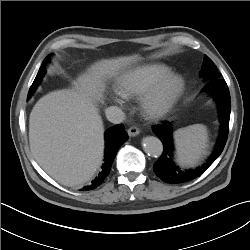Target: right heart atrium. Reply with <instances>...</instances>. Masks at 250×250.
I'll use <instances>...</instances> for the list:
<instances>
[{"mask_svg":"<svg viewBox=\"0 0 250 250\" xmlns=\"http://www.w3.org/2000/svg\"><path fill=\"white\" fill-rule=\"evenodd\" d=\"M109 99L115 103L123 104L125 99L124 97L119 93H113L109 95Z\"/></svg>","mask_w":250,"mask_h":250,"instance_id":"d8ad5b80","label":"right heart atrium"}]
</instances>
